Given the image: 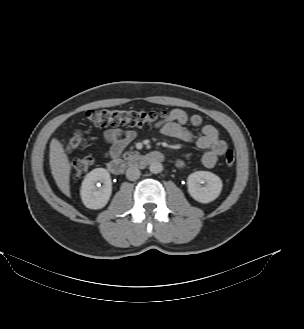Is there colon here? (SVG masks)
<instances>
[{
	"mask_svg": "<svg viewBox=\"0 0 304 329\" xmlns=\"http://www.w3.org/2000/svg\"><path fill=\"white\" fill-rule=\"evenodd\" d=\"M88 120L97 127L108 125H129V126H156L167 118L166 112L156 111H137L127 109H98L87 113ZM86 144V139L81 132H76L68 140L66 149L68 152H74ZM227 165H233L235 154L232 150H227L224 155ZM93 165V159L90 156L81 157L73 162L72 175L74 178L83 177Z\"/></svg>",
	"mask_w": 304,
	"mask_h": 329,
	"instance_id": "1",
	"label": "colon"
}]
</instances>
